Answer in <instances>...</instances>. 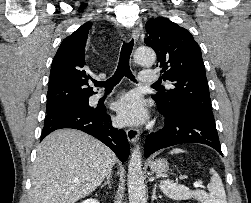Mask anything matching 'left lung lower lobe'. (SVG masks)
Returning a JSON list of instances; mask_svg holds the SVG:
<instances>
[{
    "label": "left lung lower lobe",
    "instance_id": "0a47b994",
    "mask_svg": "<svg viewBox=\"0 0 251 203\" xmlns=\"http://www.w3.org/2000/svg\"><path fill=\"white\" fill-rule=\"evenodd\" d=\"M159 111L165 117V126L146 138V158L157 150L182 143L206 144L222 154L213 115L195 108L181 109L173 114L160 107Z\"/></svg>",
    "mask_w": 251,
    "mask_h": 203
}]
</instances>
